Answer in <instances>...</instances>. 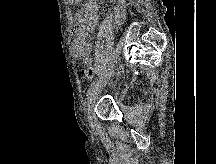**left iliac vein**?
Here are the masks:
<instances>
[{
    "mask_svg": "<svg viewBox=\"0 0 216 164\" xmlns=\"http://www.w3.org/2000/svg\"><path fill=\"white\" fill-rule=\"evenodd\" d=\"M109 77L106 76L104 79H102L97 88L93 91L91 98H90V103L87 109V121L91 127L95 126V121H94V108H95V103L98 98L99 93H101L102 89L105 87V85L108 82Z\"/></svg>",
    "mask_w": 216,
    "mask_h": 164,
    "instance_id": "4c4485c4",
    "label": "left iliac vein"
}]
</instances>
